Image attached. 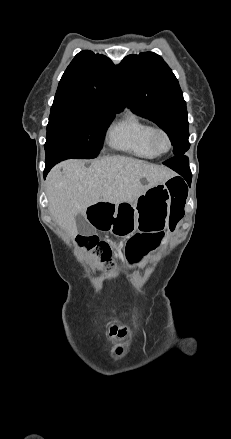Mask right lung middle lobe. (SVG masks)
I'll list each match as a JSON object with an SVG mask.
<instances>
[{
    "instance_id": "obj_1",
    "label": "right lung middle lobe",
    "mask_w": 231,
    "mask_h": 439,
    "mask_svg": "<svg viewBox=\"0 0 231 439\" xmlns=\"http://www.w3.org/2000/svg\"><path fill=\"white\" fill-rule=\"evenodd\" d=\"M122 110L90 105L51 108L44 145L46 161L97 157L106 129Z\"/></svg>"
}]
</instances>
